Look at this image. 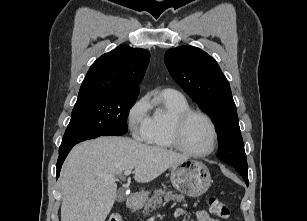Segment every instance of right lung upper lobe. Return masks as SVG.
<instances>
[{
    "label": "right lung upper lobe",
    "instance_id": "1",
    "mask_svg": "<svg viewBox=\"0 0 307 221\" xmlns=\"http://www.w3.org/2000/svg\"><path fill=\"white\" fill-rule=\"evenodd\" d=\"M150 53L120 45L103 54L90 67L82 82L78 101L112 94H138Z\"/></svg>",
    "mask_w": 307,
    "mask_h": 221
}]
</instances>
